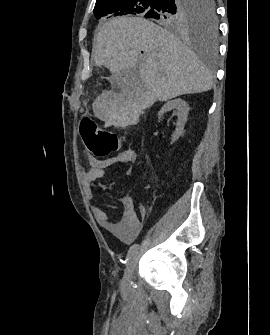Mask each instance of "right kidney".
<instances>
[{
	"mask_svg": "<svg viewBox=\"0 0 270 335\" xmlns=\"http://www.w3.org/2000/svg\"><path fill=\"white\" fill-rule=\"evenodd\" d=\"M170 110H175V114L178 116L175 132L172 136V142L178 140L179 136H181L184 126L186 124V120L189 114V106L181 100V98H177V100H171V102H166L163 108H161L160 112H158V116H163L165 112H170Z\"/></svg>",
	"mask_w": 270,
	"mask_h": 335,
	"instance_id": "obj_1",
	"label": "right kidney"
}]
</instances>
